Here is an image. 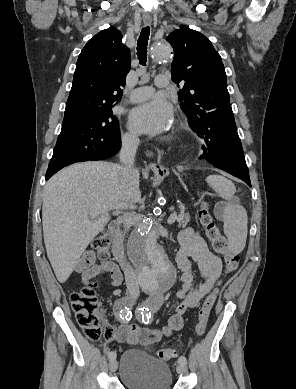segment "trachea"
Listing matches in <instances>:
<instances>
[{
  "label": "trachea",
  "instance_id": "3493384b",
  "mask_svg": "<svg viewBox=\"0 0 296 389\" xmlns=\"http://www.w3.org/2000/svg\"><path fill=\"white\" fill-rule=\"evenodd\" d=\"M150 35L149 26L142 29L137 41V56L141 65H146L147 62V45Z\"/></svg>",
  "mask_w": 296,
  "mask_h": 389
}]
</instances>
